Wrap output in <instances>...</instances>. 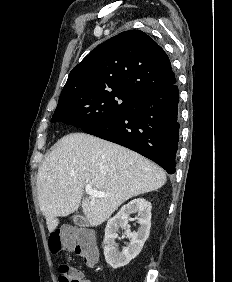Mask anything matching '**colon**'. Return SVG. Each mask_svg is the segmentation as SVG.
<instances>
[{"label": "colon", "mask_w": 232, "mask_h": 282, "mask_svg": "<svg viewBox=\"0 0 232 282\" xmlns=\"http://www.w3.org/2000/svg\"><path fill=\"white\" fill-rule=\"evenodd\" d=\"M48 245L53 254L63 249L74 251L89 266L94 265L98 258L93 236L86 230H56L50 234ZM58 271L59 282H80V278L75 274V269L67 264H60Z\"/></svg>", "instance_id": "5ec220e1"}]
</instances>
